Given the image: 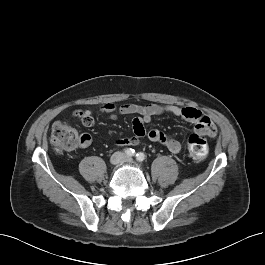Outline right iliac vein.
<instances>
[{
	"label": "right iliac vein",
	"instance_id": "obj_1",
	"mask_svg": "<svg viewBox=\"0 0 265 265\" xmlns=\"http://www.w3.org/2000/svg\"><path fill=\"white\" fill-rule=\"evenodd\" d=\"M123 160V155L119 152L114 153L110 158V163L112 165H117Z\"/></svg>",
	"mask_w": 265,
	"mask_h": 265
}]
</instances>
